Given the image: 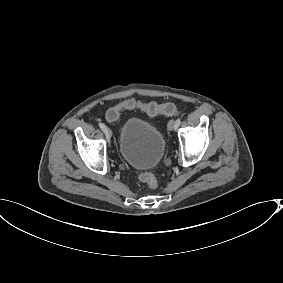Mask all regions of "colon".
<instances>
[{
	"instance_id": "5ec220e1",
	"label": "colon",
	"mask_w": 283,
	"mask_h": 283,
	"mask_svg": "<svg viewBox=\"0 0 283 283\" xmlns=\"http://www.w3.org/2000/svg\"><path fill=\"white\" fill-rule=\"evenodd\" d=\"M141 110L149 115L165 114L172 115L176 112V105L173 103L157 104L155 102L144 103L135 99L125 100L113 108L109 109L106 119L109 123L115 122L124 110ZM139 180L147 184L150 188H156L158 185L155 175L150 171L141 172Z\"/></svg>"
}]
</instances>
